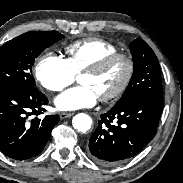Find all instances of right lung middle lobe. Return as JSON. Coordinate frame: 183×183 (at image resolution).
Returning a JSON list of instances; mask_svg holds the SVG:
<instances>
[{
  "instance_id": "1",
  "label": "right lung middle lobe",
  "mask_w": 183,
  "mask_h": 183,
  "mask_svg": "<svg viewBox=\"0 0 183 183\" xmlns=\"http://www.w3.org/2000/svg\"><path fill=\"white\" fill-rule=\"evenodd\" d=\"M62 37L54 31H33L6 42L0 48V88L35 87L31 74L34 59Z\"/></svg>"
}]
</instances>
